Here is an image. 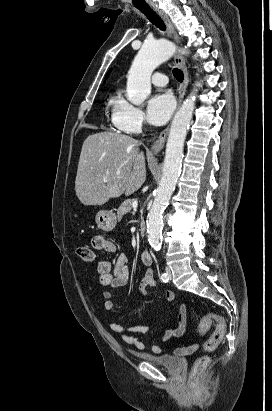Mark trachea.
Instances as JSON below:
<instances>
[{
	"mask_svg": "<svg viewBox=\"0 0 272 411\" xmlns=\"http://www.w3.org/2000/svg\"><path fill=\"white\" fill-rule=\"evenodd\" d=\"M136 8L139 9L157 28L162 31L166 30L164 21L149 6H136ZM173 75L179 82H182L184 79L183 72L178 68L173 69Z\"/></svg>",
	"mask_w": 272,
	"mask_h": 411,
	"instance_id": "1",
	"label": "trachea"
}]
</instances>
